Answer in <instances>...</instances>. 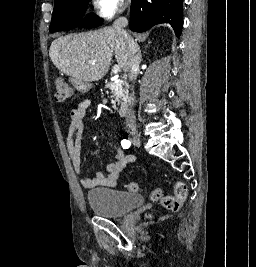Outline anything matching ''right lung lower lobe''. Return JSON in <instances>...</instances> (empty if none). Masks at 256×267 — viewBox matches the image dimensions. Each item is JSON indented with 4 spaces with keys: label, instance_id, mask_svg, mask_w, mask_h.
Instances as JSON below:
<instances>
[{
    "label": "right lung lower lobe",
    "instance_id": "right-lung-lower-lobe-1",
    "mask_svg": "<svg viewBox=\"0 0 256 267\" xmlns=\"http://www.w3.org/2000/svg\"><path fill=\"white\" fill-rule=\"evenodd\" d=\"M182 0H132L130 29L144 32L160 23H169L177 37L182 32Z\"/></svg>",
    "mask_w": 256,
    "mask_h": 267
}]
</instances>
